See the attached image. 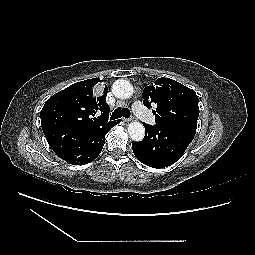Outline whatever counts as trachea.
I'll list each match as a JSON object with an SVG mask.
<instances>
[{"instance_id": "trachea-1", "label": "trachea", "mask_w": 255, "mask_h": 255, "mask_svg": "<svg viewBox=\"0 0 255 255\" xmlns=\"http://www.w3.org/2000/svg\"><path fill=\"white\" fill-rule=\"evenodd\" d=\"M122 116L125 117V118H129L130 117V110L127 109V108H125V109L117 108L112 113L110 119L115 120V119H118Z\"/></svg>"}]
</instances>
